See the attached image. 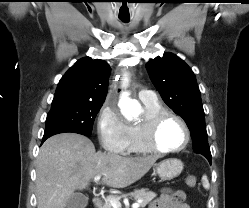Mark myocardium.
I'll use <instances>...</instances> for the list:
<instances>
[{
  "label": "myocardium",
  "instance_id": "f54148a6",
  "mask_svg": "<svg viewBox=\"0 0 249 208\" xmlns=\"http://www.w3.org/2000/svg\"><path fill=\"white\" fill-rule=\"evenodd\" d=\"M167 119H174L178 121L185 131L184 143L178 148L163 149L155 143L156 133L161 127V125ZM190 140H191V131H190L188 124L185 122V120L182 117L169 111H162L146 119L141 126L140 144H141L142 149L146 153H155V154L178 153V152L183 151L189 145Z\"/></svg>",
  "mask_w": 249,
  "mask_h": 208
}]
</instances>
